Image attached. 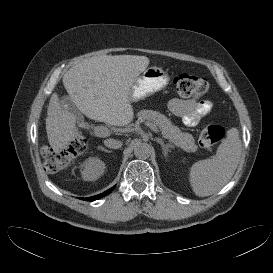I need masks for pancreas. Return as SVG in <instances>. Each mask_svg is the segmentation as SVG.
<instances>
[{"instance_id": "obj_1", "label": "pancreas", "mask_w": 273, "mask_h": 273, "mask_svg": "<svg viewBox=\"0 0 273 273\" xmlns=\"http://www.w3.org/2000/svg\"><path fill=\"white\" fill-rule=\"evenodd\" d=\"M137 116L143 121L156 125L165 138L185 151L195 152L197 150L194 137L187 132H182L165 115L153 110H141L137 113Z\"/></svg>"}]
</instances>
